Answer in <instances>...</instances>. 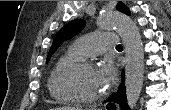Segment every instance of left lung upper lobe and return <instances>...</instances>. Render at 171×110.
<instances>
[{"instance_id": "1", "label": "left lung upper lobe", "mask_w": 171, "mask_h": 110, "mask_svg": "<svg viewBox=\"0 0 171 110\" xmlns=\"http://www.w3.org/2000/svg\"><path fill=\"white\" fill-rule=\"evenodd\" d=\"M117 10L120 12H123L127 15L130 14L129 9L122 3L119 2L117 4ZM85 26V21L81 19L73 20L69 23H67L65 26H63L55 35L52 46L50 48V51L48 53L46 62L49 61L51 56L54 54V52L58 49V47L65 41L73 37L74 35L78 34L83 27Z\"/></svg>"}]
</instances>
